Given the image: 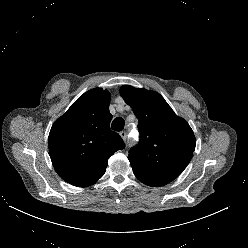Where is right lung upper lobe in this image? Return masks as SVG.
Here are the masks:
<instances>
[{
    "instance_id": "obj_1",
    "label": "right lung upper lobe",
    "mask_w": 248,
    "mask_h": 248,
    "mask_svg": "<svg viewBox=\"0 0 248 248\" xmlns=\"http://www.w3.org/2000/svg\"><path fill=\"white\" fill-rule=\"evenodd\" d=\"M110 93L95 88L79 97L53 124L49 155L58 175L77 187H87L105 173L107 160L125 144L110 130Z\"/></svg>"
}]
</instances>
